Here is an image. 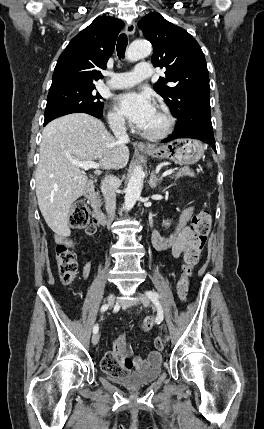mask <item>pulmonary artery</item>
Here are the masks:
<instances>
[{
	"label": "pulmonary artery",
	"mask_w": 264,
	"mask_h": 429,
	"mask_svg": "<svg viewBox=\"0 0 264 429\" xmlns=\"http://www.w3.org/2000/svg\"><path fill=\"white\" fill-rule=\"evenodd\" d=\"M151 75V65L149 63H140L133 71L111 74V80L107 85L112 89L128 88L148 79Z\"/></svg>",
	"instance_id": "e3ab8cb5"
}]
</instances>
